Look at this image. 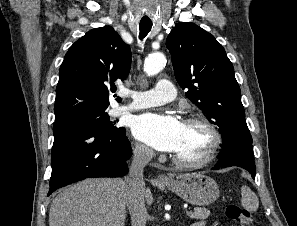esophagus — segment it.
<instances>
[{
	"mask_svg": "<svg viewBox=\"0 0 297 226\" xmlns=\"http://www.w3.org/2000/svg\"><path fill=\"white\" fill-rule=\"evenodd\" d=\"M158 180L161 181V182H166V181H169L170 178H168L167 176L163 175V174H160L158 176Z\"/></svg>",
	"mask_w": 297,
	"mask_h": 226,
	"instance_id": "obj_1",
	"label": "esophagus"
}]
</instances>
